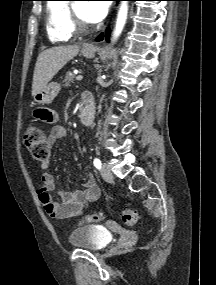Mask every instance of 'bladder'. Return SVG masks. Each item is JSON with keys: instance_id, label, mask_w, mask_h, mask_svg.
<instances>
[{"instance_id": "1", "label": "bladder", "mask_w": 216, "mask_h": 285, "mask_svg": "<svg viewBox=\"0 0 216 285\" xmlns=\"http://www.w3.org/2000/svg\"><path fill=\"white\" fill-rule=\"evenodd\" d=\"M111 240V233L105 227L98 225L75 228L69 235L71 245L90 251L102 250Z\"/></svg>"}]
</instances>
